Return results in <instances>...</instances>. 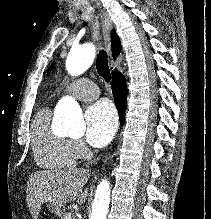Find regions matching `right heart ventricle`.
Returning <instances> with one entry per match:
<instances>
[{"mask_svg": "<svg viewBox=\"0 0 211 219\" xmlns=\"http://www.w3.org/2000/svg\"><path fill=\"white\" fill-rule=\"evenodd\" d=\"M32 150L36 163L43 168L73 167L77 162L71 141L55 134L50 127V111L42 108L32 124Z\"/></svg>", "mask_w": 211, "mask_h": 219, "instance_id": "right-heart-ventricle-1", "label": "right heart ventricle"}]
</instances>
